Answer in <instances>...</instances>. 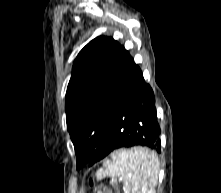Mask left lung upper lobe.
Segmentation results:
<instances>
[{
  "label": "left lung upper lobe",
  "mask_w": 221,
  "mask_h": 193,
  "mask_svg": "<svg viewBox=\"0 0 221 193\" xmlns=\"http://www.w3.org/2000/svg\"><path fill=\"white\" fill-rule=\"evenodd\" d=\"M133 58L111 37H97L78 54L66 93L67 128L77 169L89 162L111 128L114 104Z\"/></svg>",
  "instance_id": "obj_1"
}]
</instances>
